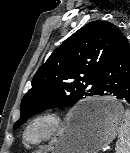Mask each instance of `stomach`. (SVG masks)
<instances>
[{"instance_id": "0dacf381", "label": "stomach", "mask_w": 130, "mask_h": 153, "mask_svg": "<svg viewBox=\"0 0 130 153\" xmlns=\"http://www.w3.org/2000/svg\"><path fill=\"white\" fill-rule=\"evenodd\" d=\"M92 108L95 114L78 120L80 109ZM122 105L112 97L91 99L72 114L68 126L50 143L46 153H98L116 137L124 121Z\"/></svg>"}]
</instances>
